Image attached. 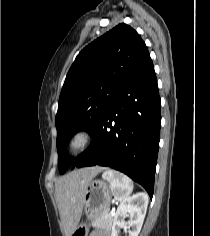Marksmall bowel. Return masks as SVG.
<instances>
[{
    "instance_id": "1",
    "label": "small bowel",
    "mask_w": 210,
    "mask_h": 236,
    "mask_svg": "<svg viewBox=\"0 0 210 236\" xmlns=\"http://www.w3.org/2000/svg\"><path fill=\"white\" fill-rule=\"evenodd\" d=\"M91 236H109V235L103 232H94Z\"/></svg>"
}]
</instances>
